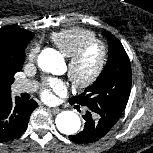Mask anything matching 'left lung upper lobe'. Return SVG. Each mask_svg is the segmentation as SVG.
Wrapping results in <instances>:
<instances>
[{
    "label": "left lung upper lobe",
    "mask_w": 153,
    "mask_h": 153,
    "mask_svg": "<svg viewBox=\"0 0 153 153\" xmlns=\"http://www.w3.org/2000/svg\"><path fill=\"white\" fill-rule=\"evenodd\" d=\"M104 35L109 44L105 68L94 84L70 101L88 107L98 117L114 125L128 102L132 73L128 55L121 42L110 33Z\"/></svg>",
    "instance_id": "5c2ea615"
}]
</instances>
